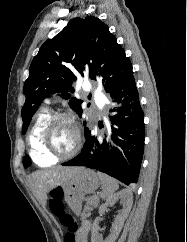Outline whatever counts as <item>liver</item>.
<instances>
[{"label":"liver","mask_w":187,"mask_h":242,"mask_svg":"<svg viewBox=\"0 0 187 242\" xmlns=\"http://www.w3.org/2000/svg\"><path fill=\"white\" fill-rule=\"evenodd\" d=\"M79 167L58 166L50 170H41L33 173L30 182L33 191L42 204L47 203V194L58 186L66 187V181Z\"/></svg>","instance_id":"1"}]
</instances>
